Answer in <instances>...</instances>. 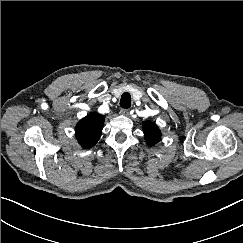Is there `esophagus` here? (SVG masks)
Masks as SVG:
<instances>
[{
    "label": "esophagus",
    "instance_id": "1",
    "mask_svg": "<svg viewBox=\"0 0 243 243\" xmlns=\"http://www.w3.org/2000/svg\"><path fill=\"white\" fill-rule=\"evenodd\" d=\"M129 112H130V110L129 109H121V111H120V113L122 114V115H129Z\"/></svg>",
    "mask_w": 243,
    "mask_h": 243
}]
</instances>
